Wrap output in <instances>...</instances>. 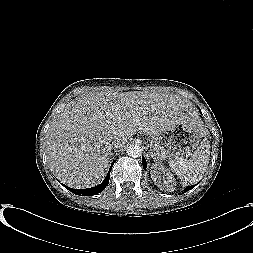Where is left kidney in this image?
Here are the masks:
<instances>
[{
  "label": "left kidney",
  "instance_id": "left-kidney-1",
  "mask_svg": "<svg viewBox=\"0 0 253 253\" xmlns=\"http://www.w3.org/2000/svg\"><path fill=\"white\" fill-rule=\"evenodd\" d=\"M152 179L161 190L173 191L175 185V179L168 170L159 164L153 165Z\"/></svg>",
  "mask_w": 253,
  "mask_h": 253
}]
</instances>
